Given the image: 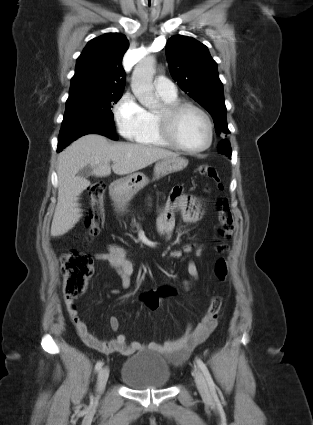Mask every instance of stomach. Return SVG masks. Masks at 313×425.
Wrapping results in <instances>:
<instances>
[{
	"label": "stomach",
	"instance_id": "stomach-1",
	"mask_svg": "<svg viewBox=\"0 0 313 425\" xmlns=\"http://www.w3.org/2000/svg\"><path fill=\"white\" fill-rule=\"evenodd\" d=\"M188 160L183 157L162 159L155 164L153 180H159L171 173L183 170ZM150 180L145 174L137 172L116 180L112 184L111 194L117 200L129 201L137 192L143 189Z\"/></svg>",
	"mask_w": 313,
	"mask_h": 425
}]
</instances>
